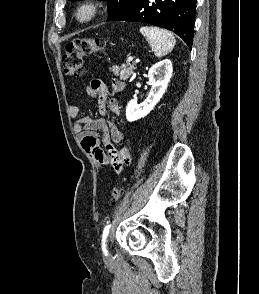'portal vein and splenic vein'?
<instances>
[{
  "label": "portal vein and splenic vein",
  "mask_w": 259,
  "mask_h": 294,
  "mask_svg": "<svg viewBox=\"0 0 259 294\" xmlns=\"http://www.w3.org/2000/svg\"><path fill=\"white\" fill-rule=\"evenodd\" d=\"M133 61V57H129L128 59H127V62H132Z\"/></svg>",
  "instance_id": "1"
}]
</instances>
